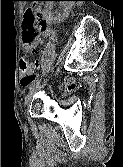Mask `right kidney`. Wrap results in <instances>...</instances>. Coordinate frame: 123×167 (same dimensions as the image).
Here are the masks:
<instances>
[{
  "label": "right kidney",
  "mask_w": 123,
  "mask_h": 167,
  "mask_svg": "<svg viewBox=\"0 0 123 167\" xmlns=\"http://www.w3.org/2000/svg\"><path fill=\"white\" fill-rule=\"evenodd\" d=\"M53 3V1L47 2L45 14L55 22H62L63 20H65L68 17L72 6L74 5V2L72 1H61L60 6L63 8V13L54 16V14H52L51 12V9L53 8Z\"/></svg>",
  "instance_id": "ca27d5eb"
}]
</instances>
